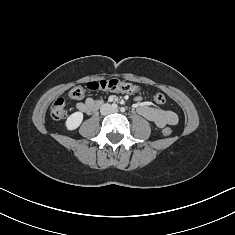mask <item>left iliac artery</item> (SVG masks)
Wrapping results in <instances>:
<instances>
[{"mask_svg":"<svg viewBox=\"0 0 235 235\" xmlns=\"http://www.w3.org/2000/svg\"><path fill=\"white\" fill-rule=\"evenodd\" d=\"M120 110H121V112H125V108L124 107H122Z\"/></svg>","mask_w":235,"mask_h":235,"instance_id":"left-iliac-artery-1","label":"left iliac artery"}]
</instances>
